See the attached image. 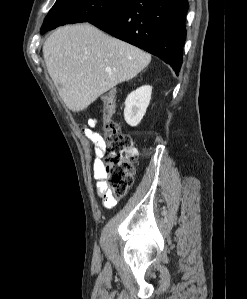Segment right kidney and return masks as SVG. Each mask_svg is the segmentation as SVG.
<instances>
[{"mask_svg":"<svg viewBox=\"0 0 247 299\" xmlns=\"http://www.w3.org/2000/svg\"><path fill=\"white\" fill-rule=\"evenodd\" d=\"M152 87L142 86L131 92L125 101L124 118L127 124L137 126L146 113L151 100Z\"/></svg>","mask_w":247,"mask_h":299,"instance_id":"1","label":"right kidney"}]
</instances>
